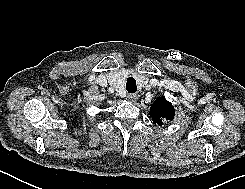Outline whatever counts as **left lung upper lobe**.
Returning a JSON list of instances; mask_svg holds the SVG:
<instances>
[{"mask_svg":"<svg viewBox=\"0 0 245 189\" xmlns=\"http://www.w3.org/2000/svg\"><path fill=\"white\" fill-rule=\"evenodd\" d=\"M150 116L153 122L159 126L166 121H172L175 116V110L170 102L165 98H158L150 107Z\"/></svg>","mask_w":245,"mask_h":189,"instance_id":"1","label":"left lung upper lobe"}]
</instances>
